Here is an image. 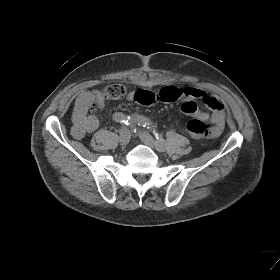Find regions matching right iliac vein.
Instances as JSON below:
<instances>
[{
    "instance_id": "63e3f726",
    "label": "right iliac vein",
    "mask_w": 280,
    "mask_h": 280,
    "mask_svg": "<svg viewBox=\"0 0 280 280\" xmlns=\"http://www.w3.org/2000/svg\"><path fill=\"white\" fill-rule=\"evenodd\" d=\"M131 135L128 129L122 128L120 130L119 142L122 146H126L130 141Z\"/></svg>"
}]
</instances>
